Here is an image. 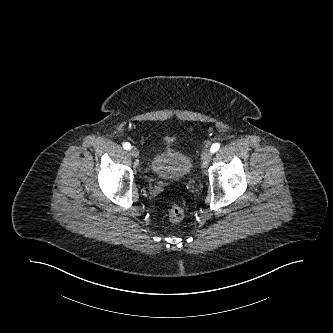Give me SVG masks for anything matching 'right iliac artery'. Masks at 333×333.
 Here are the masks:
<instances>
[{"mask_svg": "<svg viewBox=\"0 0 333 333\" xmlns=\"http://www.w3.org/2000/svg\"><path fill=\"white\" fill-rule=\"evenodd\" d=\"M130 147H131V145L128 142L123 144V148L126 149V150H129Z\"/></svg>", "mask_w": 333, "mask_h": 333, "instance_id": "obj_1", "label": "right iliac artery"}]
</instances>
